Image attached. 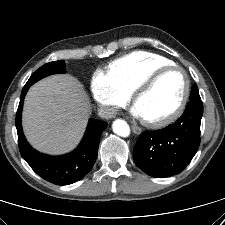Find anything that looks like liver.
<instances>
[{
	"label": "liver",
	"mask_w": 225,
	"mask_h": 225,
	"mask_svg": "<svg viewBox=\"0 0 225 225\" xmlns=\"http://www.w3.org/2000/svg\"><path fill=\"white\" fill-rule=\"evenodd\" d=\"M90 111L89 97L76 78L52 75L29 89L22 114L23 130L35 149L63 154L81 140Z\"/></svg>",
	"instance_id": "6515ba94"
}]
</instances>
